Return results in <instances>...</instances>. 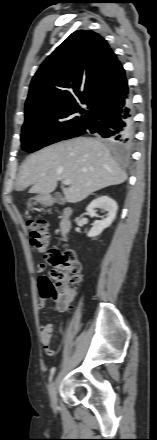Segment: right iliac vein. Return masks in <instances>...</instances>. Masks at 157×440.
<instances>
[{"mask_svg":"<svg viewBox=\"0 0 157 440\" xmlns=\"http://www.w3.org/2000/svg\"><path fill=\"white\" fill-rule=\"evenodd\" d=\"M50 399L52 405L55 407L57 405V382L54 380L50 386Z\"/></svg>","mask_w":157,"mask_h":440,"instance_id":"1","label":"right iliac vein"}]
</instances>
